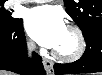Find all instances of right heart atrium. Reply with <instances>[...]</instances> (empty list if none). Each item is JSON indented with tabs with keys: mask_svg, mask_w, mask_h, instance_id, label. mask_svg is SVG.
Returning a JSON list of instances; mask_svg holds the SVG:
<instances>
[{
	"mask_svg": "<svg viewBox=\"0 0 102 75\" xmlns=\"http://www.w3.org/2000/svg\"><path fill=\"white\" fill-rule=\"evenodd\" d=\"M28 46H29L30 48H33V47H34V44H33L31 41H28Z\"/></svg>",
	"mask_w": 102,
	"mask_h": 75,
	"instance_id": "1",
	"label": "right heart atrium"
}]
</instances>
